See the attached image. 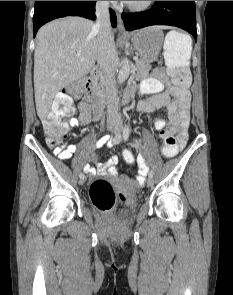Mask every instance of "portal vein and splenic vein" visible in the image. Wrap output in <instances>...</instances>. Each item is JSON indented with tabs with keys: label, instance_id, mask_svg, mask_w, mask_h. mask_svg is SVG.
<instances>
[{
	"label": "portal vein and splenic vein",
	"instance_id": "18ae733b",
	"mask_svg": "<svg viewBox=\"0 0 233 295\" xmlns=\"http://www.w3.org/2000/svg\"><path fill=\"white\" fill-rule=\"evenodd\" d=\"M134 60L137 61L138 57H135ZM81 61H84V58H82Z\"/></svg>",
	"mask_w": 233,
	"mask_h": 295
}]
</instances>
